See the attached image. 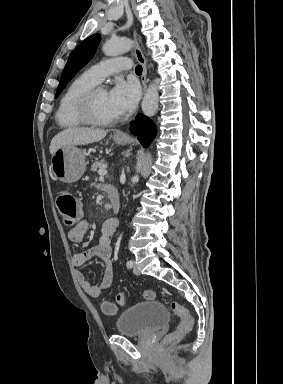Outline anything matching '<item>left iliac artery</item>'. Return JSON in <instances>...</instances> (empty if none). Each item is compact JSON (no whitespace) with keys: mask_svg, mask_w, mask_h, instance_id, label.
<instances>
[{"mask_svg":"<svg viewBox=\"0 0 283 384\" xmlns=\"http://www.w3.org/2000/svg\"><path fill=\"white\" fill-rule=\"evenodd\" d=\"M126 265L128 268H132L133 267V261L132 260L127 261Z\"/></svg>","mask_w":283,"mask_h":384,"instance_id":"1","label":"left iliac artery"}]
</instances>
